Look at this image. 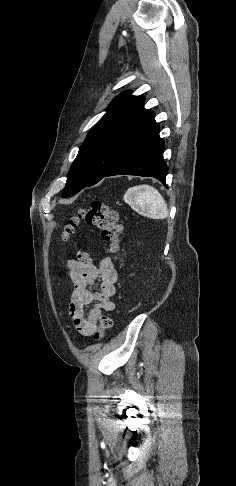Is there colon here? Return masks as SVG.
Returning <instances> with one entry per match:
<instances>
[{"label":"colon","instance_id":"1","mask_svg":"<svg viewBox=\"0 0 236 486\" xmlns=\"http://www.w3.org/2000/svg\"><path fill=\"white\" fill-rule=\"evenodd\" d=\"M84 219L88 224L98 228L101 238L108 243V249L111 253L117 254L120 249V237L123 227L119 221V213L112 207L98 200H93L85 209L78 211L63 231V238L67 239L73 233L74 228ZM113 325L111 317L103 315L97 331L94 334L96 340L104 338L106 331Z\"/></svg>","mask_w":236,"mask_h":486}]
</instances>
